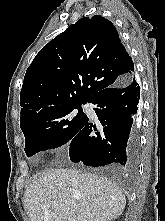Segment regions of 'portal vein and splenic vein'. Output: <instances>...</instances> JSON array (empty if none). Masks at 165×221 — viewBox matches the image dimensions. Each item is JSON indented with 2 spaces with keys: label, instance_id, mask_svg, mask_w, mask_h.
I'll use <instances>...</instances> for the list:
<instances>
[{
  "label": "portal vein and splenic vein",
  "instance_id": "18ae733b",
  "mask_svg": "<svg viewBox=\"0 0 165 221\" xmlns=\"http://www.w3.org/2000/svg\"><path fill=\"white\" fill-rule=\"evenodd\" d=\"M52 218H57V215L55 213H51L50 215ZM68 221H76L75 219L69 218Z\"/></svg>",
  "mask_w": 165,
  "mask_h": 221
}]
</instances>
